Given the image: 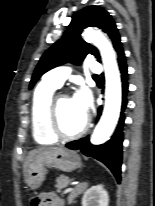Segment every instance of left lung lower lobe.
<instances>
[{
  "label": "left lung lower lobe",
  "instance_id": "1",
  "mask_svg": "<svg viewBox=\"0 0 155 206\" xmlns=\"http://www.w3.org/2000/svg\"><path fill=\"white\" fill-rule=\"evenodd\" d=\"M117 52V61L119 65V70L121 73L122 80V112L119 124L116 128V131L112 138L102 145H92L89 142V138H82L69 142L66 147L70 149H80L81 152L86 155L93 157L101 162H103L114 174L117 181L121 180V164H122V141H123V132L122 126L124 123V114L123 111L127 105V92H128V83H127V65L126 57L122 49V45L116 50ZM102 107L98 109V115H101Z\"/></svg>",
  "mask_w": 155,
  "mask_h": 206
}]
</instances>
